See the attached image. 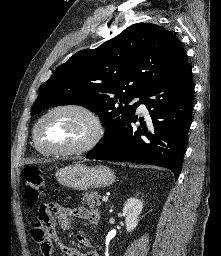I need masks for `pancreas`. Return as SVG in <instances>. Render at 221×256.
<instances>
[{
    "label": "pancreas",
    "mask_w": 221,
    "mask_h": 256,
    "mask_svg": "<svg viewBox=\"0 0 221 256\" xmlns=\"http://www.w3.org/2000/svg\"><path fill=\"white\" fill-rule=\"evenodd\" d=\"M100 198L101 196L98 195L97 191H90L83 195L82 201L83 203H87L89 207H95L101 205Z\"/></svg>",
    "instance_id": "cf45deb5"
}]
</instances>
